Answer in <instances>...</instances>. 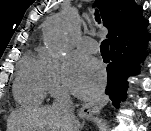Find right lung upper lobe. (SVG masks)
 Segmentation results:
<instances>
[{
	"instance_id": "right-lung-upper-lobe-1",
	"label": "right lung upper lobe",
	"mask_w": 151,
	"mask_h": 131,
	"mask_svg": "<svg viewBox=\"0 0 151 131\" xmlns=\"http://www.w3.org/2000/svg\"><path fill=\"white\" fill-rule=\"evenodd\" d=\"M111 49L120 46L146 47L151 35L147 33L148 21L142 17V7L134 0H96Z\"/></svg>"
}]
</instances>
